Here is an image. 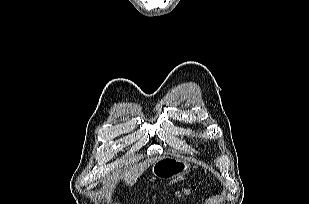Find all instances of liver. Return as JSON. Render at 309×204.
Here are the masks:
<instances>
[{"mask_svg": "<svg viewBox=\"0 0 309 204\" xmlns=\"http://www.w3.org/2000/svg\"><path fill=\"white\" fill-rule=\"evenodd\" d=\"M155 161H152L154 163ZM151 162L144 163L143 165L135 166L134 168L130 169L129 171L125 172L123 175V179L126 185H132L137 178L143 173V171L149 166Z\"/></svg>", "mask_w": 309, "mask_h": 204, "instance_id": "liver-1", "label": "liver"}]
</instances>
